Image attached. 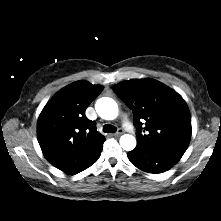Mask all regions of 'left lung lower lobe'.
Segmentation results:
<instances>
[{"label":"left lung lower lobe","instance_id":"0a47b994","mask_svg":"<svg viewBox=\"0 0 221 221\" xmlns=\"http://www.w3.org/2000/svg\"><path fill=\"white\" fill-rule=\"evenodd\" d=\"M184 153L162 149L138 148L128 152L131 163L142 171L162 173L175 165Z\"/></svg>","mask_w":221,"mask_h":221}]
</instances>
